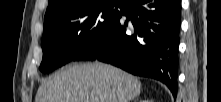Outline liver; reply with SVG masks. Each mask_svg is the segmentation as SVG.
<instances>
[{
  "instance_id": "1",
  "label": "liver",
  "mask_w": 221,
  "mask_h": 102,
  "mask_svg": "<svg viewBox=\"0 0 221 102\" xmlns=\"http://www.w3.org/2000/svg\"><path fill=\"white\" fill-rule=\"evenodd\" d=\"M141 88L137 78L114 66L78 64L42 82L35 102H130Z\"/></svg>"
}]
</instances>
